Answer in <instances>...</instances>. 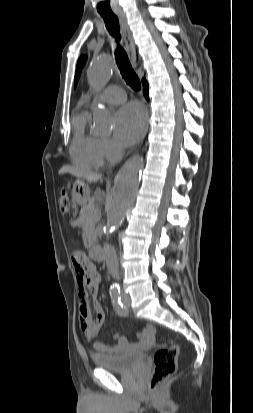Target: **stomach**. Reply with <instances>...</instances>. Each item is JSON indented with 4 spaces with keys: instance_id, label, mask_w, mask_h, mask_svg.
Here are the masks:
<instances>
[{
    "instance_id": "obj_1",
    "label": "stomach",
    "mask_w": 253,
    "mask_h": 413,
    "mask_svg": "<svg viewBox=\"0 0 253 413\" xmlns=\"http://www.w3.org/2000/svg\"><path fill=\"white\" fill-rule=\"evenodd\" d=\"M72 198L78 204L84 205L90 199V190L86 184L77 180L72 188Z\"/></svg>"
}]
</instances>
